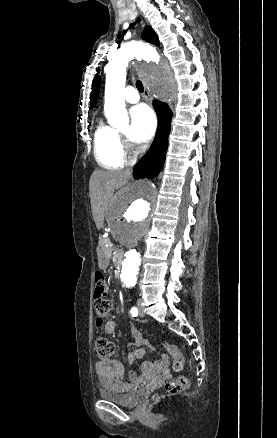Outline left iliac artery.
<instances>
[{
	"label": "left iliac artery",
	"instance_id": "left-iliac-artery-1",
	"mask_svg": "<svg viewBox=\"0 0 277 438\" xmlns=\"http://www.w3.org/2000/svg\"><path fill=\"white\" fill-rule=\"evenodd\" d=\"M130 312L133 317H136L138 315V310L136 307H132Z\"/></svg>",
	"mask_w": 277,
	"mask_h": 438
}]
</instances>
